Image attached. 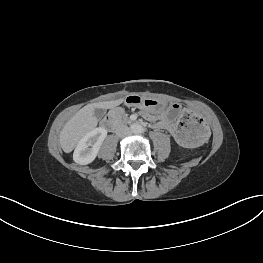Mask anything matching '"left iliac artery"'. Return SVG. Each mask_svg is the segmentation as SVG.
I'll return each instance as SVG.
<instances>
[{
    "label": "left iliac artery",
    "instance_id": "left-iliac-artery-1",
    "mask_svg": "<svg viewBox=\"0 0 263 263\" xmlns=\"http://www.w3.org/2000/svg\"><path fill=\"white\" fill-rule=\"evenodd\" d=\"M140 132H141V133H144V129L142 128V129L140 130Z\"/></svg>",
    "mask_w": 263,
    "mask_h": 263
}]
</instances>
